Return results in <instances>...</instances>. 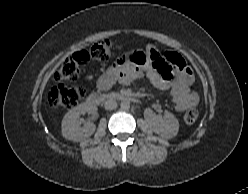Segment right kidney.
<instances>
[{"mask_svg": "<svg viewBox=\"0 0 248 194\" xmlns=\"http://www.w3.org/2000/svg\"><path fill=\"white\" fill-rule=\"evenodd\" d=\"M85 113L96 114L97 107L83 103L65 114L62 120V135L64 138L79 142L95 132L96 126L93 123L87 122L81 127L79 117Z\"/></svg>", "mask_w": 248, "mask_h": 194, "instance_id": "ca27d5eb", "label": "right kidney"}]
</instances>
